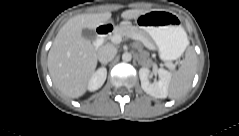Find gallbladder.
<instances>
[{"label": "gallbladder", "instance_id": "gallbladder-1", "mask_svg": "<svg viewBox=\"0 0 239 136\" xmlns=\"http://www.w3.org/2000/svg\"><path fill=\"white\" fill-rule=\"evenodd\" d=\"M82 37L90 42H93L96 40L97 35L93 29L84 28L82 30Z\"/></svg>", "mask_w": 239, "mask_h": 136}]
</instances>
